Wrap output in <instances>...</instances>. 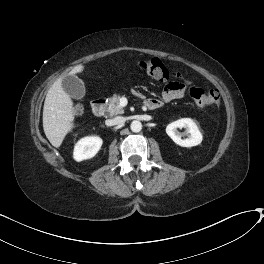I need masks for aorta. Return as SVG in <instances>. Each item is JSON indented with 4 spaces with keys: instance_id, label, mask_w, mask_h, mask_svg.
<instances>
[{
    "instance_id": "762f6f07",
    "label": "aorta",
    "mask_w": 264,
    "mask_h": 264,
    "mask_svg": "<svg viewBox=\"0 0 264 264\" xmlns=\"http://www.w3.org/2000/svg\"><path fill=\"white\" fill-rule=\"evenodd\" d=\"M130 128L133 132H140L142 129V123L140 121L134 120L132 121Z\"/></svg>"
}]
</instances>
